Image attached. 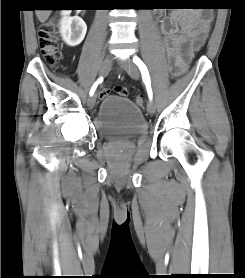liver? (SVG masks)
I'll use <instances>...</instances> for the list:
<instances>
[{"mask_svg":"<svg viewBox=\"0 0 245 278\" xmlns=\"http://www.w3.org/2000/svg\"><path fill=\"white\" fill-rule=\"evenodd\" d=\"M51 10H36V16L41 23H44L50 16Z\"/></svg>","mask_w":245,"mask_h":278,"instance_id":"liver-1","label":"liver"}]
</instances>
